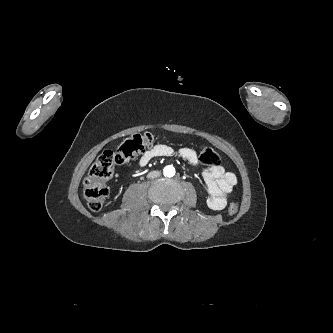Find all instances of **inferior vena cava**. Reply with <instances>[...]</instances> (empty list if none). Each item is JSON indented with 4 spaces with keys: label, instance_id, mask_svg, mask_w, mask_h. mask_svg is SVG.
<instances>
[{
    "label": "inferior vena cava",
    "instance_id": "obj_1",
    "mask_svg": "<svg viewBox=\"0 0 333 333\" xmlns=\"http://www.w3.org/2000/svg\"><path fill=\"white\" fill-rule=\"evenodd\" d=\"M160 175L159 171H151L147 174V178L154 179Z\"/></svg>",
    "mask_w": 333,
    "mask_h": 333
}]
</instances>
